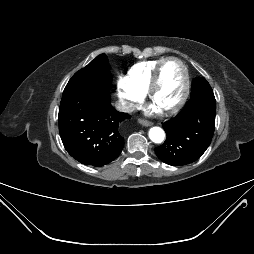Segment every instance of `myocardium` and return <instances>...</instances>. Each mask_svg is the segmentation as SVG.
Instances as JSON below:
<instances>
[{"label":"myocardium","instance_id":"myocardium-1","mask_svg":"<svg viewBox=\"0 0 254 254\" xmlns=\"http://www.w3.org/2000/svg\"><path fill=\"white\" fill-rule=\"evenodd\" d=\"M169 61H176L182 67V70H183V88H182V93H181L178 101L173 106H171L167 109L161 110V112L164 115H172V114L178 112L184 106V104H185V102L188 98L189 90H190V76H189V71H188L187 65L180 58L175 57V56H169V57L164 58L157 65V67L154 70L150 85H149V87L147 89V92H146L148 100L150 102H152L153 96H154V94H155V92L158 89L159 84H160L162 69H163L164 65Z\"/></svg>","mask_w":254,"mask_h":254}]
</instances>
